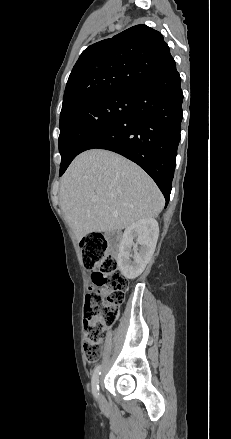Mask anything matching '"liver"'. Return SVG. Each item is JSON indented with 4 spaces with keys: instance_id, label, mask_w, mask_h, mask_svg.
<instances>
[{
    "instance_id": "6515ba94",
    "label": "liver",
    "mask_w": 231,
    "mask_h": 439,
    "mask_svg": "<svg viewBox=\"0 0 231 439\" xmlns=\"http://www.w3.org/2000/svg\"><path fill=\"white\" fill-rule=\"evenodd\" d=\"M61 209L77 240L91 232H114L154 218L164 197L135 163L114 152L78 155L61 179Z\"/></svg>"
}]
</instances>
